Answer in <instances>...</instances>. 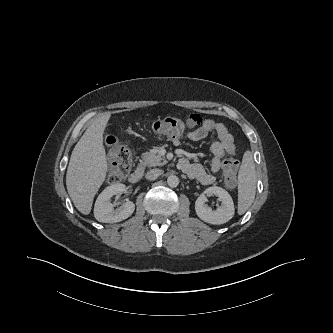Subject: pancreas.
Listing matches in <instances>:
<instances>
[{"instance_id":"pancreas-1","label":"pancreas","mask_w":333,"mask_h":333,"mask_svg":"<svg viewBox=\"0 0 333 333\" xmlns=\"http://www.w3.org/2000/svg\"><path fill=\"white\" fill-rule=\"evenodd\" d=\"M166 162L167 161L161 155L151 150L150 152L143 153L140 163L143 167H155L164 165Z\"/></svg>"}]
</instances>
